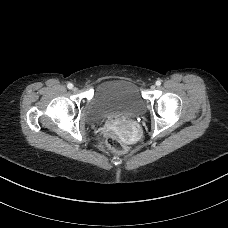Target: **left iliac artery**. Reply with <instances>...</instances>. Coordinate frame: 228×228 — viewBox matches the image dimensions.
<instances>
[{"mask_svg":"<svg viewBox=\"0 0 228 228\" xmlns=\"http://www.w3.org/2000/svg\"><path fill=\"white\" fill-rule=\"evenodd\" d=\"M156 85L160 86L161 85V81L160 80L156 81Z\"/></svg>","mask_w":228,"mask_h":228,"instance_id":"obj_1","label":"left iliac artery"}]
</instances>
